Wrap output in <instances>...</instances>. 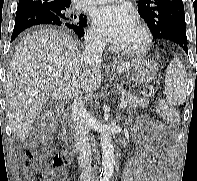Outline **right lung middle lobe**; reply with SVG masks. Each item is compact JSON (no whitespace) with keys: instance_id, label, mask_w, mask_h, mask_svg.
<instances>
[{"instance_id":"obj_1","label":"right lung middle lobe","mask_w":197,"mask_h":181,"mask_svg":"<svg viewBox=\"0 0 197 181\" xmlns=\"http://www.w3.org/2000/svg\"><path fill=\"white\" fill-rule=\"evenodd\" d=\"M42 6L50 10L63 22H69V23H73L79 26L86 25V16L81 14L79 18L76 19V16L67 14V8L69 7V5L43 4Z\"/></svg>"}]
</instances>
